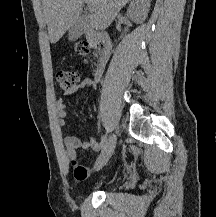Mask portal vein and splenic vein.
I'll return each instance as SVG.
<instances>
[{"label": "portal vein and splenic vein", "instance_id": "portal-vein-and-splenic-vein-1", "mask_svg": "<svg viewBox=\"0 0 216 217\" xmlns=\"http://www.w3.org/2000/svg\"><path fill=\"white\" fill-rule=\"evenodd\" d=\"M88 10L91 12V8L89 7V5H88Z\"/></svg>", "mask_w": 216, "mask_h": 217}]
</instances>
